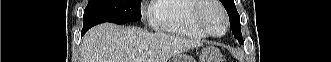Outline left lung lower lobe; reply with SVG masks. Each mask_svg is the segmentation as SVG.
I'll use <instances>...</instances> for the list:
<instances>
[{
  "label": "left lung lower lobe",
  "mask_w": 331,
  "mask_h": 62,
  "mask_svg": "<svg viewBox=\"0 0 331 62\" xmlns=\"http://www.w3.org/2000/svg\"><path fill=\"white\" fill-rule=\"evenodd\" d=\"M231 29H232V32H233L235 38H237L238 41L242 42V35H241V33H239L238 31H236L235 28H231Z\"/></svg>",
  "instance_id": "obj_1"
}]
</instances>
